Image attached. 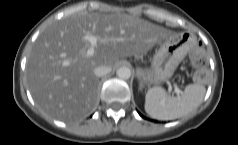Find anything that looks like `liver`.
Returning a JSON list of instances; mask_svg holds the SVG:
<instances>
[{
	"label": "liver",
	"mask_w": 238,
	"mask_h": 145,
	"mask_svg": "<svg viewBox=\"0 0 238 145\" xmlns=\"http://www.w3.org/2000/svg\"><path fill=\"white\" fill-rule=\"evenodd\" d=\"M93 35L95 53L87 56ZM169 37L164 28L127 14L78 12L52 22L38 36L27 60L31 95L46 114L61 121L87 116L97 104L98 66L148 52Z\"/></svg>",
	"instance_id": "1"
}]
</instances>
